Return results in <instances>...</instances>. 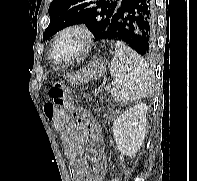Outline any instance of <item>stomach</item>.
Segmentation results:
<instances>
[{"instance_id": "stomach-1", "label": "stomach", "mask_w": 197, "mask_h": 181, "mask_svg": "<svg viewBox=\"0 0 197 181\" xmlns=\"http://www.w3.org/2000/svg\"><path fill=\"white\" fill-rule=\"evenodd\" d=\"M106 71V62L95 61L90 63L86 68L72 76H68V82L72 85H79L102 77Z\"/></svg>"}]
</instances>
